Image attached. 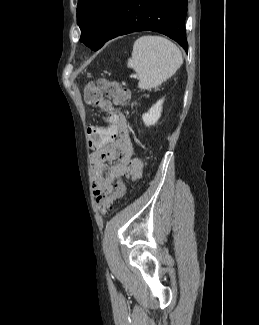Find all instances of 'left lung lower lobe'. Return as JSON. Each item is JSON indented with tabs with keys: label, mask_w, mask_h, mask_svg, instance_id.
<instances>
[{
	"label": "left lung lower lobe",
	"mask_w": 259,
	"mask_h": 325,
	"mask_svg": "<svg viewBox=\"0 0 259 325\" xmlns=\"http://www.w3.org/2000/svg\"><path fill=\"white\" fill-rule=\"evenodd\" d=\"M186 16L187 0H122L103 45L128 33L156 31L169 36L187 50Z\"/></svg>",
	"instance_id": "1"
}]
</instances>
